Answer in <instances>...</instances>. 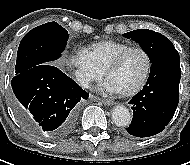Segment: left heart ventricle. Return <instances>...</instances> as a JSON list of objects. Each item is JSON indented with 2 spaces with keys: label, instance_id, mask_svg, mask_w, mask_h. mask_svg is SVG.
Here are the masks:
<instances>
[{
  "label": "left heart ventricle",
  "instance_id": "1",
  "mask_svg": "<svg viewBox=\"0 0 190 165\" xmlns=\"http://www.w3.org/2000/svg\"><path fill=\"white\" fill-rule=\"evenodd\" d=\"M146 69V59L139 51L129 53L122 63L112 71L107 81L118 91L133 88L143 77Z\"/></svg>",
  "mask_w": 190,
  "mask_h": 165
}]
</instances>
